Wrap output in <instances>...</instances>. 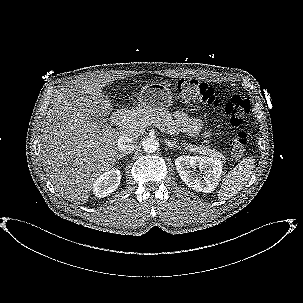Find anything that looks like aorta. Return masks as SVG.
I'll return each mask as SVG.
<instances>
[{"mask_svg":"<svg viewBox=\"0 0 303 303\" xmlns=\"http://www.w3.org/2000/svg\"><path fill=\"white\" fill-rule=\"evenodd\" d=\"M159 143L153 137H147L142 141V148L146 153H153L158 149Z\"/></svg>","mask_w":303,"mask_h":303,"instance_id":"1","label":"aorta"}]
</instances>
